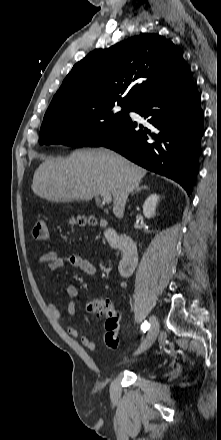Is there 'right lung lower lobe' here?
Masks as SVG:
<instances>
[{
	"instance_id": "1",
	"label": "right lung lower lobe",
	"mask_w": 221,
	"mask_h": 440,
	"mask_svg": "<svg viewBox=\"0 0 221 440\" xmlns=\"http://www.w3.org/2000/svg\"><path fill=\"white\" fill-rule=\"evenodd\" d=\"M200 101L192 79L145 98L132 111L147 118L149 125H138L129 117L101 146L175 180L190 194L199 169L200 140L204 133Z\"/></svg>"
}]
</instances>
